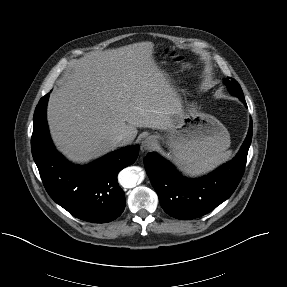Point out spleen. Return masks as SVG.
<instances>
[{"instance_id":"obj_1","label":"spleen","mask_w":287,"mask_h":287,"mask_svg":"<svg viewBox=\"0 0 287 287\" xmlns=\"http://www.w3.org/2000/svg\"><path fill=\"white\" fill-rule=\"evenodd\" d=\"M230 155H231V152L227 151L225 153H220V154L199 160L187 166L186 171L192 176H200V175L206 174L214 170L215 168H217L219 165H221L225 161H227Z\"/></svg>"}]
</instances>
